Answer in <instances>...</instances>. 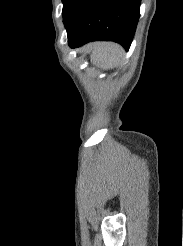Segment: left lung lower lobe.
Returning a JSON list of instances; mask_svg holds the SVG:
<instances>
[{
  "instance_id": "left-lung-lower-lobe-1",
  "label": "left lung lower lobe",
  "mask_w": 183,
  "mask_h": 246,
  "mask_svg": "<svg viewBox=\"0 0 183 246\" xmlns=\"http://www.w3.org/2000/svg\"><path fill=\"white\" fill-rule=\"evenodd\" d=\"M141 0H73L63 19L71 48L95 40L128 50L140 17Z\"/></svg>"
}]
</instances>
